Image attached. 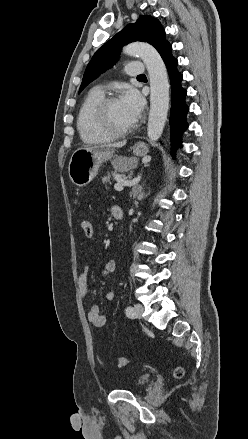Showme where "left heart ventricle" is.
Wrapping results in <instances>:
<instances>
[{"label": "left heart ventricle", "instance_id": "1", "mask_svg": "<svg viewBox=\"0 0 248 439\" xmlns=\"http://www.w3.org/2000/svg\"><path fill=\"white\" fill-rule=\"evenodd\" d=\"M109 117L111 123L118 128H126L134 123L120 100H117L110 105Z\"/></svg>", "mask_w": 248, "mask_h": 439}]
</instances>
